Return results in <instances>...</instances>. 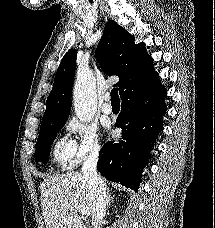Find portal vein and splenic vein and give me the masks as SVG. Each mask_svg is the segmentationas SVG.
<instances>
[{"label":"portal vein and splenic vein","instance_id":"18ae733b","mask_svg":"<svg viewBox=\"0 0 215 228\" xmlns=\"http://www.w3.org/2000/svg\"><path fill=\"white\" fill-rule=\"evenodd\" d=\"M72 206L75 208V210H78V212L82 214V218H87V210H84L83 206H79V204H72Z\"/></svg>","mask_w":215,"mask_h":228}]
</instances>
